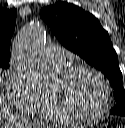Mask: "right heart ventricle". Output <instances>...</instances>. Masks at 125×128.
I'll use <instances>...</instances> for the list:
<instances>
[{"instance_id": "e07e8e85", "label": "right heart ventricle", "mask_w": 125, "mask_h": 128, "mask_svg": "<svg viewBox=\"0 0 125 128\" xmlns=\"http://www.w3.org/2000/svg\"><path fill=\"white\" fill-rule=\"evenodd\" d=\"M34 115L41 120L55 123H69L64 115L54 105L50 94H42V97L34 110Z\"/></svg>"}]
</instances>
